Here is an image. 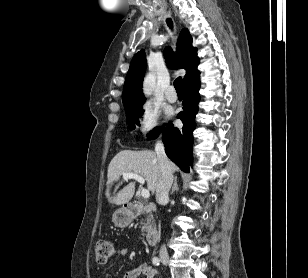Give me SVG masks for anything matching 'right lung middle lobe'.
Wrapping results in <instances>:
<instances>
[{"mask_svg":"<svg viewBox=\"0 0 308 278\" xmlns=\"http://www.w3.org/2000/svg\"><path fill=\"white\" fill-rule=\"evenodd\" d=\"M125 112H126L127 123L129 125V128L134 129L135 124H139L137 117H140L141 114L143 113L142 106L128 108L125 110ZM162 129H163L162 127H157L156 129L151 131L152 133L149 134L147 138L150 140L155 139L159 135V133L162 131Z\"/></svg>","mask_w":308,"mask_h":278,"instance_id":"obj_1","label":"right lung middle lobe"}]
</instances>
